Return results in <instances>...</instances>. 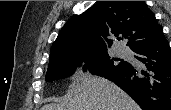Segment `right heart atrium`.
Here are the masks:
<instances>
[{"label": "right heart atrium", "instance_id": "d8ad5b80", "mask_svg": "<svg viewBox=\"0 0 171 110\" xmlns=\"http://www.w3.org/2000/svg\"><path fill=\"white\" fill-rule=\"evenodd\" d=\"M93 73V62L87 57L76 60L73 68V78L76 81H86Z\"/></svg>", "mask_w": 171, "mask_h": 110}]
</instances>
